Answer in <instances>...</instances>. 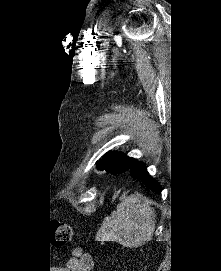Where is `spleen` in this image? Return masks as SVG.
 Here are the masks:
<instances>
[{
    "mask_svg": "<svg viewBox=\"0 0 221 271\" xmlns=\"http://www.w3.org/2000/svg\"><path fill=\"white\" fill-rule=\"evenodd\" d=\"M156 213L148 199L141 195H129L117 205L109 217H105L98 241H118L125 247H139L153 237Z\"/></svg>",
    "mask_w": 221,
    "mask_h": 271,
    "instance_id": "1",
    "label": "spleen"
}]
</instances>
